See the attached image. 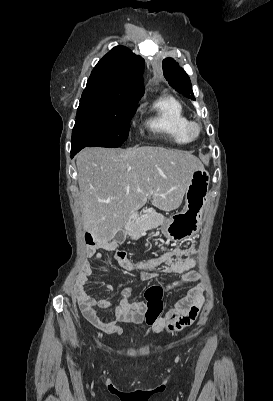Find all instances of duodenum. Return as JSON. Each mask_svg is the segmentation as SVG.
<instances>
[{
  "label": "duodenum",
  "mask_w": 273,
  "mask_h": 401,
  "mask_svg": "<svg viewBox=\"0 0 273 401\" xmlns=\"http://www.w3.org/2000/svg\"><path fill=\"white\" fill-rule=\"evenodd\" d=\"M137 218L138 215L136 213H132L129 217L126 227L129 228L137 220Z\"/></svg>",
  "instance_id": "410a0bca"
}]
</instances>
